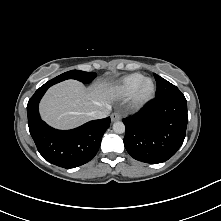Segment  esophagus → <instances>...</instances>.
<instances>
[{
	"label": "esophagus",
	"instance_id": "obj_1",
	"mask_svg": "<svg viewBox=\"0 0 221 221\" xmlns=\"http://www.w3.org/2000/svg\"><path fill=\"white\" fill-rule=\"evenodd\" d=\"M121 119V114L118 112H114L111 114V121L115 122Z\"/></svg>",
	"mask_w": 221,
	"mask_h": 221
}]
</instances>
